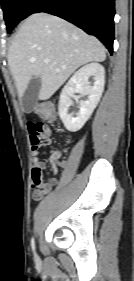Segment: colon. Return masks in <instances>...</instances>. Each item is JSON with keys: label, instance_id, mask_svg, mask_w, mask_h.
<instances>
[{"label": "colon", "instance_id": "colon-1", "mask_svg": "<svg viewBox=\"0 0 134 281\" xmlns=\"http://www.w3.org/2000/svg\"><path fill=\"white\" fill-rule=\"evenodd\" d=\"M38 112L43 118L48 119V120L53 119L55 116L54 107L47 103L40 104L38 106ZM32 187H33V191H34L36 189V187L35 186H32Z\"/></svg>", "mask_w": 134, "mask_h": 281}]
</instances>
